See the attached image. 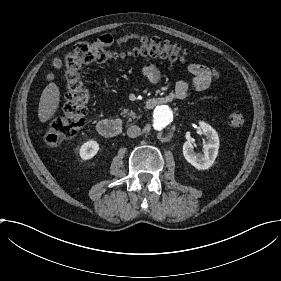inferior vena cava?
Instances as JSON below:
<instances>
[{
  "mask_svg": "<svg viewBox=\"0 0 281 281\" xmlns=\"http://www.w3.org/2000/svg\"><path fill=\"white\" fill-rule=\"evenodd\" d=\"M127 135L130 137V138H136L140 135V128L136 125H133V126H130L128 129H127Z\"/></svg>",
  "mask_w": 281,
  "mask_h": 281,
  "instance_id": "obj_1",
  "label": "inferior vena cava"
}]
</instances>
